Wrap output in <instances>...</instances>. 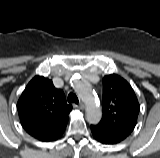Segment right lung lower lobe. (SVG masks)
I'll use <instances>...</instances> for the list:
<instances>
[{"instance_id": "obj_1", "label": "right lung lower lobe", "mask_w": 160, "mask_h": 158, "mask_svg": "<svg viewBox=\"0 0 160 158\" xmlns=\"http://www.w3.org/2000/svg\"><path fill=\"white\" fill-rule=\"evenodd\" d=\"M61 135H62V134H61ZM61 135H60V136H61ZM60 136H59V137H60ZM59 137H58V138H59ZM58 138H56V139H54V140H57ZM54 140H53V141H54Z\"/></svg>"}]
</instances>
